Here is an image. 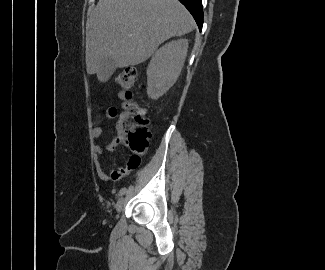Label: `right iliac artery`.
Masks as SVG:
<instances>
[{"instance_id": "right-iliac-artery-1", "label": "right iliac artery", "mask_w": 325, "mask_h": 270, "mask_svg": "<svg viewBox=\"0 0 325 270\" xmlns=\"http://www.w3.org/2000/svg\"><path fill=\"white\" fill-rule=\"evenodd\" d=\"M126 192H127V189L124 187V188H122V189L119 191L118 195H119V196H122V195H124Z\"/></svg>"}]
</instances>
